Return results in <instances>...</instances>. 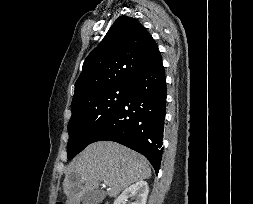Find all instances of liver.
<instances>
[{
  "mask_svg": "<svg viewBox=\"0 0 253 204\" xmlns=\"http://www.w3.org/2000/svg\"><path fill=\"white\" fill-rule=\"evenodd\" d=\"M151 177V168L140 154L110 141L87 146L69 166L63 182L66 204H80L83 196L108 185L107 194L116 197L131 184Z\"/></svg>",
  "mask_w": 253,
  "mask_h": 204,
  "instance_id": "liver-1",
  "label": "liver"
}]
</instances>
